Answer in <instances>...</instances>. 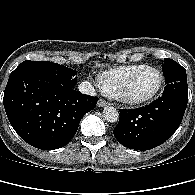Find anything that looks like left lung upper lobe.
I'll use <instances>...</instances> for the list:
<instances>
[{"mask_svg": "<svg viewBox=\"0 0 195 195\" xmlns=\"http://www.w3.org/2000/svg\"><path fill=\"white\" fill-rule=\"evenodd\" d=\"M162 68L165 84L187 81L186 70L174 60L165 58Z\"/></svg>", "mask_w": 195, "mask_h": 195, "instance_id": "left-lung-upper-lobe-1", "label": "left lung upper lobe"}]
</instances>
